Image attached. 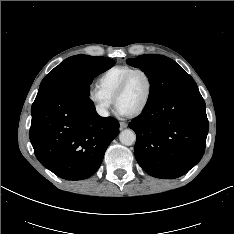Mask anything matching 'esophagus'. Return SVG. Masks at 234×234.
I'll return each instance as SVG.
<instances>
[{
    "label": "esophagus",
    "mask_w": 234,
    "mask_h": 234,
    "mask_svg": "<svg viewBox=\"0 0 234 234\" xmlns=\"http://www.w3.org/2000/svg\"><path fill=\"white\" fill-rule=\"evenodd\" d=\"M126 127H127V123L124 122V121H121L120 122V129L122 130V129L126 128Z\"/></svg>",
    "instance_id": "obj_1"
}]
</instances>
